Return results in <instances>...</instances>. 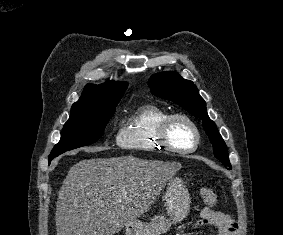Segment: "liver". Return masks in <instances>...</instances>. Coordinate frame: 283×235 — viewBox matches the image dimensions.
Masks as SVG:
<instances>
[{"label": "liver", "instance_id": "1", "mask_svg": "<svg viewBox=\"0 0 283 235\" xmlns=\"http://www.w3.org/2000/svg\"><path fill=\"white\" fill-rule=\"evenodd\" d=\"M179 162L132 155L73 165L56 204L57 235H113L147 212Z\"/></svg>", "mask_w": 283, "mask_h": 235}]
</instances>
